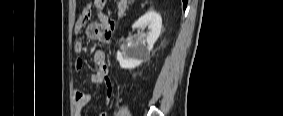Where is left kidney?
<instances>
[{"instance_id":"5707ae66","label":"left kidney","mask_w":283,"mask_h":116,"mask_svg":"<svg viewBox=\"0 0 283 116\" xmlns=\"http://www.w3.org/2000/svg\"><path fill=\"white\" fill-rule=\"evenodd\" d=\"M148 26L149 34L145 39H138L123 48V51H117V61L123 69H133L139 66L150 56V51L157 41L162 28V18L154 10L146 12L133 25V28H142Z\"/></svg>"}]
</instances>
